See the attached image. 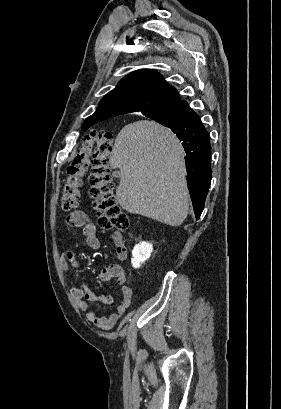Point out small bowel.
Wrapping results in <instances>:
<instances>
[{"label":"small bowel","instance_id":"obj_1","mask_svg":"<svg viewBox=\"0 0 281 409\" xmlns=\"http://www.w3.org/2000/svg\"><path fill=\"white\" fill-rule=\"evenodd\" d=\"M67 225L71 228H83V234L87 246L92 250L100 248V239L95 232V227L82 210H75L67 217ZM62 266L68 270L70 266L80 269L82 264L77 261L72 251L67 250L62 256ZM98 278L100 281L115 280L120 286L119 300L115 310L108 316H100L94 311H88L89 303L110 305L114 302L111 295L97 294L86 285L72 286L71 293L79 308L87 311V319L101 330L112 329L118 320L127 311L132 298V289L126 284L125 269L119 264H110L101 269Z\"/></svg>","mask_w":281,"mask_h":409}]
</instances>
